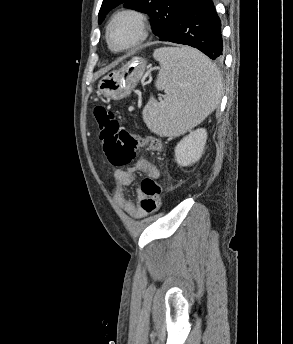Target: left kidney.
Masks as SVG:
<instances>
[{"label":"left kidney","instance_id":"5707ae66","mask_svg":"<svg viewBox=\"0 0 293 344\" xmlns=\"http://www.w3.org/2000/svg\"><path fill=\"white\" fill-rule=\"evenodd\" d=\"M207 131L198 128L185 136L175 147V161L179 166H189L198 161L203 154Z\"/></svg>","mask_w":293,"mask_h":344}]
</instances>
